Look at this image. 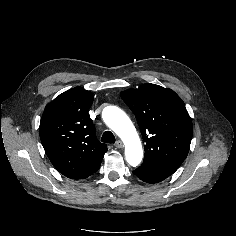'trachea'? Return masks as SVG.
Segmentation results:
<instances>
[{
    "instance_id": "1",
    "label": "trachea",
    "mask_w": 236,
    "mask_h": 236,
    "mask_svg": "<svg viewBox=\"0 0 236 236\" xmlns=\"http://www.w3.org/2000/svg\"><path fill=\"white\" fill-rule=\"evenodd\" d=\"M101 141L104 143H115V136L111 131H105L102 135Z\"/></svg>"
}]
</instances>
